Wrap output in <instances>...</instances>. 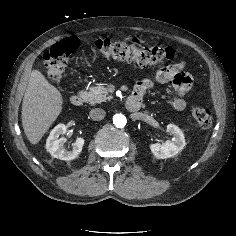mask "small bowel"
Returning a JSON list of instances; mask_svg holds the SVG:
<instances>
[{
  "label": "small bowel",
  "instance_id": "obj_1",
  "mask_svg": "<svg viewBox=\"0 0 236 236\" xmlns=\"http://www.w3.org/2000/svg\"><path fill=\"white\" fill-rule=\"evenodd\" d=\"M183 63H176L157 70L154 73V80L159 83L171 82L177 91V96L169 101L175 111H183L186 108L185 94L190 90L192 78L185 72ZM154 81L144 79L137 82L134 88V95L142 97L146 91L152 89Z\"/></svg>",
  "mask_w": 236,
  "mask_h": 236
}]
</instances>
